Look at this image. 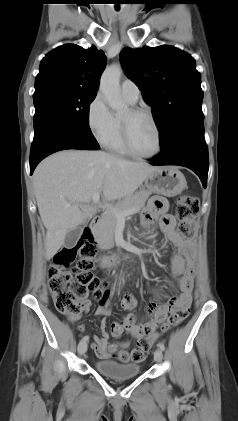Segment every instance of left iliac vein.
I'll list each match as a JSON object with an SVG mask.
<instances>
[{"instance_id":"1","label":"left iliac vein","mask_w":238,"mask_h":421,"mask_svg":"<svg viewBox=\"0 0 238 421\" xmlns=\"http://www.w3.org/2000/svg\"><path fill=\"white\" fill-rule=\"evenodd\" d=\"M154 359L156 362H161L163 359V353L161 351V349H156L154 352Z\"/></svg>"}]
</instances>
